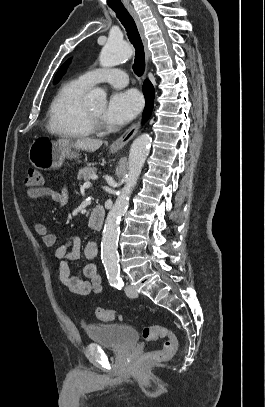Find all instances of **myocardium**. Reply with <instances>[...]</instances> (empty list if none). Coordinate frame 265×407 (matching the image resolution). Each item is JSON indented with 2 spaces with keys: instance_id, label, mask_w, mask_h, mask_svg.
<instances>
[{
  "instance_id": "1",
  "label": "myocardium",
  "mask_w": 265,
  "mask_h": 407,
  "mask_svg": "<svg viewBox=\"0 0 265 407\" xmlns=\"http://www.w3.org/2000/svg\"><path fill=\"white\" fill-rule=\"evenodd\" d=\"M85 114L88 125L93 132H105L108 130V127L103 121V119L97 116L88 107H85Z\"/></svg>"
}]
</instances>
